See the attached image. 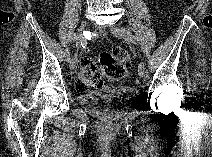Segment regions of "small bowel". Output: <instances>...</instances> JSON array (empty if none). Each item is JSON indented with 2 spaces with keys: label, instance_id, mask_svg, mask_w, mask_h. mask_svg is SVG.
Masks as SVG:
<instances>
[{
  "label": "small bowel",
  "instance_id": "obj_1",
  "mask_svg": "<svg viewBox=\"0 0 212 157\" xmlns=\"http://www.w3.org/2000/svg\"><path fill=\"white\" fill-rule=\"evenodd\" d=\"M88 61H89V58H86V57L82 58V59H81V62H80V69H81L82 67H84L85 64H86ZM79 74H80V71H79ZM79 74H78V77H79Z\"/></svg>",
  "mask_w": 212,
  "mask_h": 157
}]
</instances>
